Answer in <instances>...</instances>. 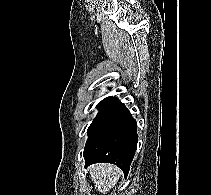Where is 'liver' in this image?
I'll return each mask as SVG.
<instances>
[{"label":"liver","instance_id":"6515ba94","mask_svg":"<svg viewBox=\"0 0 211 195\" xmlns=\"http://www.w3.org/2000/svg\"><path fill=\"white\" fill-rule=\"evenodd\" d=\"M95 188L103 194L112 189L119 180L122 171L113 164L98 163L89 168Z\"/></svg>","mask_w":211,"mask_h":195}]
</instances>
